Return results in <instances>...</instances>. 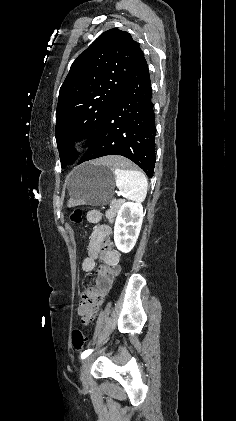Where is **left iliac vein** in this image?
Listing matches in <instances>:
<instances>
[{"label": "left iliac vein", "mask_w": 236, "mask_h": 421, "mask_svg": "<svg viewBox=\"0 0 236 421\" xmlns=\"http://www.w3.org/2000/svg\"><path fill=\"white\" fill-rule=\"evenodd\" d=\"M93 359H94V356H90V357H86L83 361V364L81 367V377H82V382L84 386L88 385L90 367H91Z\"/></svg>", "instance_id": "4c4485c4"}]
</instances>
